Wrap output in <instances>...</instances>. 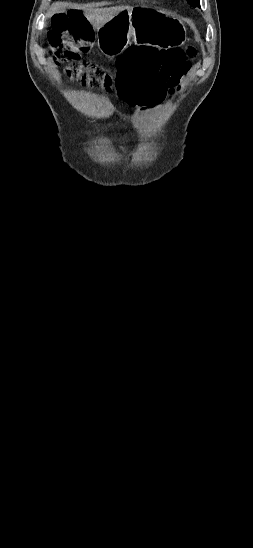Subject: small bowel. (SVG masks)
Returning <instances> with one entry per match:
<instances>
[{
  "mask_svg": "<svg viewBox=\"0 0 253 548\" xmlns=\"http://www.w3.org/2000/svg\"><path fill=\"white\" fill-rule=\"evenodd\" d=\"M156 60H159V59H156ZM126 100H127V99H126ZM138 106H142V107L149 108V107H154V106H157V105H138Z\"/></svg>",
  "mask_w": 253,
  "mask_h": 548,
  "instance_id": "c3829d8e",
  "label": "small bowel"
}]
</instances>
